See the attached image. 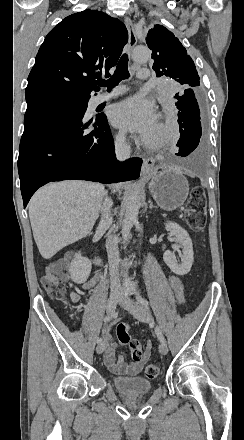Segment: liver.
I'll return each mask as SVG.
<instances>
[{
    "instance_id": "obj_1",
    "label": "liver",
    "mask_w": 244,
    "mask_h": 440,
    "mask_svg": "<svg viewBox=\"0 0 244 440\" xmlns=\"http://www.w3.org/2000/svg\"><path fill=\"white\" fill-rule=\"evenodd\" d=\"M106 192L92 182H50L29 202V218L37 248L45 260L90 234Z\"/></svg>"
}]
</instances>
